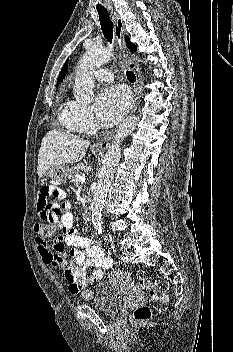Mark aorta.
<instances>
[{"mask_svg": "<svg viewBox=\"0 0 233 352\" xmlns=\"http://www.w3.org/2000/svg\"><path fill=\"white\" fill-rule=\"evenodd\" d=\"M113 56L109 48L93 46L89 48L79 61L74 83V97L82 104H89L93 100L94 70ZM138 118L135 116L125 119L116 132L113 142L108 148L105 161L98 175L97 185L91 203L92 223L96 231L102 233V209L107 196L109 185L114 177L116 166L120 160L121 143L136 127Z\"/></svg>", "mask_w": 233, "mask_h": 352, "instance_id": "1", "label": "aorta"}]
</instances>
